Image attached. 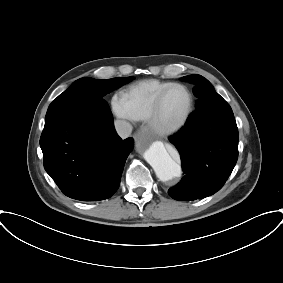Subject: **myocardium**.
Instances as JSON below:
<instances>
[{
	"mask_svg": "<svg viewBox=\"0 0 283 283\" xmlns=\"http://www.w3.org/2000/svg\"><path fill=\"white\" fill-rule=\"evenodd\" d=\"M174 88H182L188 93L189 106H188V109L185 115L178 123L172 126H169V127H164L160 125L158 122L161 105H162V102L165 96ZM194 108H195V97L191 89L182 83H172L171 85L163 89L156 97L152 110L150 112V115L147 119L148 126L155 134L159 136H162V137L172 136L178 133L179 131H181L187 125V123L189 122L193 114Z\"/></svg>",
	"mask_w": 283,
	"mask_h": 283,
	"instance_id": "obj_1",
	"label": "myocardium"
}]
</instances>
